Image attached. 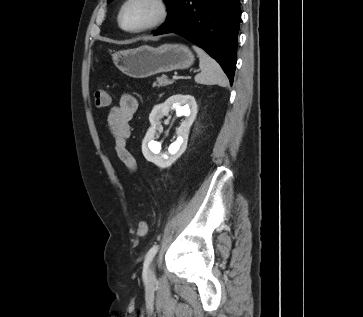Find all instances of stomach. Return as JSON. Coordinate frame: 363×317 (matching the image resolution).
Returning a JSON list of instances; mask_svg holds the SVG:
<instances>
[{
  "mask_svg": "<svg viewBox=\"0 0 363 317\" xmlns=\"http://www.w3.org/2000/svg\"><path fill=\"white\" fill-rule=\"evenodd\" d=\"M115 66L133 78H146L157 73L187 69L194 62L190 49L182 44H163L159 47L142 45L121 50L112 55Z\"/></svg>",
  "mask_w": 363,
  "mask_h": 317,
  "instance_id": "0dacf381",
  "label": "stomach"
}]
</instances>
